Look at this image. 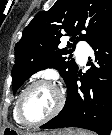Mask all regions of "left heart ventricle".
<instances>
[{
	"label": "left heart ventricle",
	"mask_w": 112,
	"mask_h": 135,
	"mask_svg": "<svg viewBox=\"0 0 112 135\" xmlns=\"http://www.w3.org/2000/svg\"><path fill=\"white\" fill-rule=\"evenodd\" d=\"M58 94L48 85H38L29 90L24 98V112L32 120L47 116L56 107Z\"/></svg>",
	"instance_id": "1"
}]
</instances>
